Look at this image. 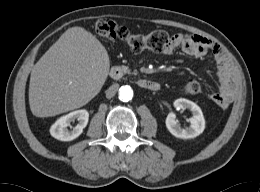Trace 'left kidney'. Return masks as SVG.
I'll return each mask as SVG.
<instances>
[{"mask_svg": "<svg viewBox=\"0 0 260 192\" xmlns=\"http://www.w3.org/2000/svg\"><path fill=\"white\" fill-rule=\"evenodd\" d=\"M173 104L177 109L190 110L192 117L189 119L190 126L182 128L176 119V115L173 112L169 113L165 121L168 131L181 139L195 138L200 135L205 129V119L200 107L185 98H179Z\"/></svg>", "mask_w": 260, "mask_h": 192, "instance_id": "1", "label": "left kidney"}]
</instances>
